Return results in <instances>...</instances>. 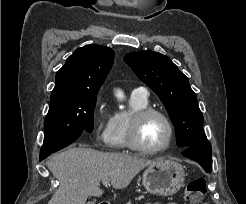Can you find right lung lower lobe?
<instances>
[{
    "instance_id": "right-lung-lower-lobe-1",
    "label": "right lung lower lobe",
    "mask_w": 246,
    "mask_h": 204,
    "mask_svg": "<svg viewBox=\"0 0 246 204\" xmlns=\"http://www.w3.org/2000/svg\"><path fill=\"white\" fill-rule=\"evenodd\" d=\"M45 158H46V157H40V161L43 160V159H45Z\"/></svg>"
}]
</instances>
